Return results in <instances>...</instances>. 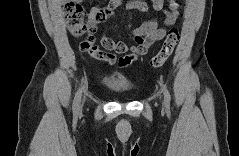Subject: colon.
Listing matches in <instances>:
<instances>
[{
  "label": "colon",
  "mask_w": 239,
  "mask_h": 156,
  "mask_svg": "<svg viewBox=\"0 0 239 156\" xmlns=\"http://www.w3.org/2000/svg\"><path fill=\"white\" fill-rule=\"evenodd\" d=\"M63 14L70 34L74 37H81L88 34V37L81 43L84 51H92V43L94 42V34L96 32L92 22L85 18L84 7L77 2H68L63 8ZM106 13L99 11L96 19L98 22L104 21ZM180 39L179 31L175 28L171 29L163 42L160 51L154 55L150 61L153 68L161 67L172 54L174 48Z\"/></svg>",
  "instance_id": "obj_1"
}]
</instances>
